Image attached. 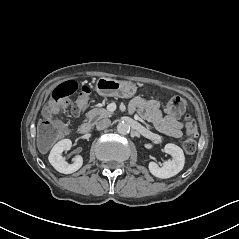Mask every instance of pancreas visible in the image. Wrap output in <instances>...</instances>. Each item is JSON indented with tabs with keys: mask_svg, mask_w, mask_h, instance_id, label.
I'll return each mask as SVG.
<instances>
[{
	"mask_svg": "<svg viewBox=\"0 0 239 239\" xmlns=\"http://www.w3.org/2000/svg\"><path fill=\"white\" fill-rule=\"evenodd\" d=\"M112 114V112L104 108H93L88 113H86V117L88 118L89 122L96 124L100 119L111 117Z\"/></svg>",
	"mask_w": 239,
	"mask_h": 239,
	"instance_id": "pancreas-1",
	"label": "pancreas"
}]
</instances>
